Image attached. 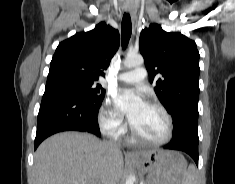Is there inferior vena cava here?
<instances>
[{
  "label": "inferior vena cava",
  "instance_id": "602c4592",
  "mask_svg": "<svg viewBox=\"0 0 235 184\" xmlns=\"http://www.w3.org/2000/svg\"><path fill=\"white\" fill-rule=\"evenodd\" d=\"M106 144H109V146H112V148H119L118 144H116L114 140H111V142H106Z\"/></svg>",
  "mask_w": 235,
  "mask_h": 184
}]
</instances>
